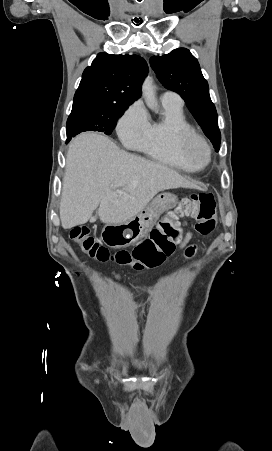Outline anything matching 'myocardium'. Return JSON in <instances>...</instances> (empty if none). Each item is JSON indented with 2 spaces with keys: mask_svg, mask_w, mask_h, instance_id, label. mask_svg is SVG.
Masks as SVG:
<instances>
[{
  "mask_svg": "<svg viewBox=\"0 0 272 451\" xmlns=\"http://www.w3.org/2000/svg\"><path fill=\"white\" fill-rule=\"evenodd\" d=\"M172 138L179 145L181 160L190 173L202 171L212 163V150L207 141L199 134L190 130L175 129L172 132ZM201 148L206 154V163L204 166H196L192 158V149Z\"/></svg>",
  "mask_w": 272,
  "mask_h": 451,
  "instance_id": "f54148a6",
  "label": "myocardium"
}]
</instances>
